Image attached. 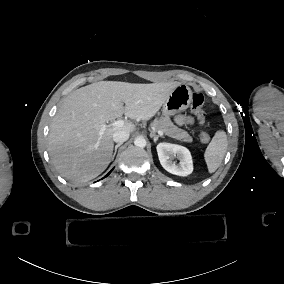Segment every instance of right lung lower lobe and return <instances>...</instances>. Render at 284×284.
I'll return each mask as SVG.
<instances>
[{"instance_id": "98d812e1", "label": "right lung lower lobe", "mask_w": 284, "mask_h": 284, "mask_svg": "<svg viewBox=\"0 0 284 284\" xmlns=\"http://www.w3.org/2000/svg\"><path fill=\"white\" fill-rule=\"evenodd\" d=\"M111 171H112V170H111ZM111 171H110L106 176H108V175L111 173ZM106 176H105V177H106Z\"/></svg>"}]
</instances>
